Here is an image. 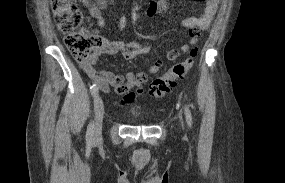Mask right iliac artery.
I'll list each match as a JSON object with an SVG mask.
<instances>
[{
  "mask_svg": "<svg viewBox=\"0 0 285 183\" xmlns=\"http://www.w3.org/2000/svg\"><path fill=\"white\" fill-rule=\"evenodd\" d=\"M90 92L93 96H95L98 92V87L96 84H93L90 87ZM93 132H94V125L92 123L89 124L88 128H87V133H86V140L88 142L92 141V137H93Z\"/></svg>",
  "mask_w": 285,
  "mask_h": 183,
  "instance_id": "right-iliac-artery-1",
  "label": "right iliac artery"
}]
</instances>
